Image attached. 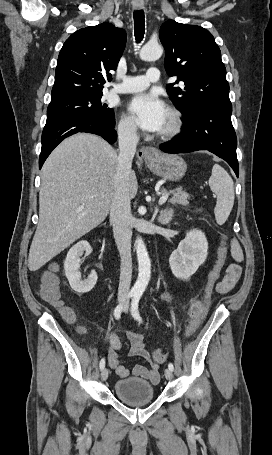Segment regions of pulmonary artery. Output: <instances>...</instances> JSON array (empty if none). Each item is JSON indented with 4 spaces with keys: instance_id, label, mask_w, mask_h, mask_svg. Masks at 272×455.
<instances>
[{
    "instance_id": "pulmonary-artery-1",
    "label": "pulmonary artery",
    "mask_w": 272,
    "mask_h": 455,
    "mask_svg": "<svg viewBox=\"0 0 272 455\" xmlns=\"http://www.w3.org/2000/svg\"><path fill=\"white\" fill-rule=\"evenodd\" d=\"M160 78V71L151 67L147 70L146 75L127 76L123 81L113 86L111 92L115 94L133 93L146 89L151 83H155Z\"/></svg>"
}]
</instances>
